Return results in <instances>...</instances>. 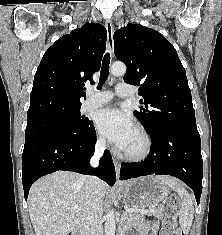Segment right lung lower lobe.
Wrapping results in <instances>:
<instances>
[{"instance_id": "98d812e1", "label": "right lung lower lobe", "mask_w": 222, "mask_h": 235, "mask_svg": "<svg viewBox=\"0 0 222 235\" xmlns=\"http://www.w3.org/2000/svg\"><path fill=\"white\" fill-rule=\"evenodd\" d=\"M96 132L93 122L73 135H51L25 144L22 154V182L25 199L31 185L40 177L58 170L85 175H97L110 186L116 181L115 167L110 153L105 150L98 168L89 160L94 153Z\"/></svg>"}]
</instances>
